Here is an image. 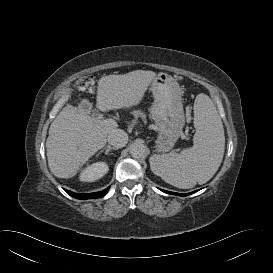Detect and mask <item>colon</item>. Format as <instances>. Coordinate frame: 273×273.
Listing matches in <instances>:
<instances>
[{
  "mask_svg": "<svg viewBox=\"0 0 273 273\" xmlns=\"http://www.w3.org/2000/svg\"><path fill=\"white\" fill-rule=\"evenodd\" d=\"M92 80V76H84L75 82V87L79 91H85L90 87Z\"/></svg>",
  "mask_w": 273,
  "mask_h": 273,
  "instance_id": "colon-1",
  "label": "colon"
}]
</instances>
